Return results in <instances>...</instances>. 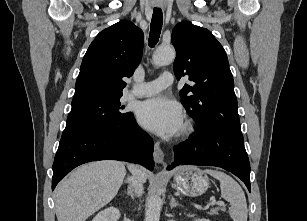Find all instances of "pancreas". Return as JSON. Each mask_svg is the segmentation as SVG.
I'll return each instance as SVG.
<instances>
[{
    "mask_svg": "<svg viewBox=\"0 0 307 221\" xmlns=\"http://www.w3.org/2000/svg\"><path fill=\"white\" fill-rule=\"evenodd\" d=\"M219 210H220V208H213V209L210 210L209 214L210 215H217Z\"/></svg>",
    "mask_w": 307,
    "mask_h": 221,
    "instance_id": "pancreas-1",
    "label": "pancreas"
}]
</instances>
